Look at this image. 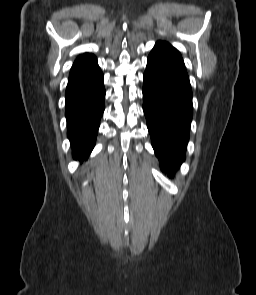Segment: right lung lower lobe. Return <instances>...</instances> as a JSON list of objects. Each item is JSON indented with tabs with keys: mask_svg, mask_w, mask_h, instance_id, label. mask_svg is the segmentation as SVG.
<instances>
[{
	"mask_svg": "<svg viewBox=\"0 0 256 295\" xmlns=\"http://www.w3.org/2000/svg\"><path fill=\"white\" fill-rule=\"evenodd\" d=\"M103 74L92 55L74 62L66 88L67 136L73 157L82 161L95 146L104 111Z\"/></svg>",
	"mask_w": 256,
	"mask_h": 295,
	"instance_id": "98d812e1",
	"label": "right lung lower lobe"
}]
</instances>
